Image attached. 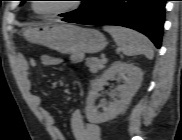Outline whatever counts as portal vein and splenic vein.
Listing matches in <instances>:
<instances>
[{
  "mask_svg": "<svg viewBox=\"0 0 182 140\" xmlns=\"http://www.w3.org/2000/svg\"><path fill=\"white\" fill-rule=\"evenodd\" d=\"M102 61L107 62V59L105 58V56H102Z\"/></svg>",
  "mask_w": 182,
  "mask_h": 140,
  "instance_id": "18ae733b",
  "label": "portal vein and splenic vein"
}]
</instances>
